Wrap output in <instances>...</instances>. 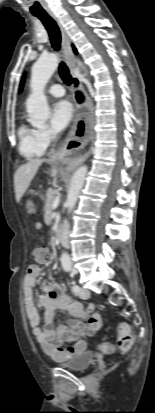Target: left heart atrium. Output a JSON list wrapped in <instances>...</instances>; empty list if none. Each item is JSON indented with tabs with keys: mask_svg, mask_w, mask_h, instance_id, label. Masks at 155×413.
<instances>
[{
	"mask_svg": "<svg viewBox=\"0 0 155 413\" xmlns=\"http://www.w3.org/2000/svg\"><path fill=\"white\" fill-rule=\"evenodd\" d=\"M73 117V108L68 101H59L54 104L51 114V125L56 132L65 129Z\"/></svg>",
	"mask_w": 155,
	"mask_h": 413,
	"instance_id": "obj_1",
	"label": "left heart atrium"
}]
</instances>
